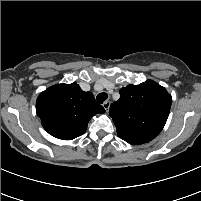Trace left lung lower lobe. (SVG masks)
I'll list each match as a JSON object with an SVG mask.
<instances>
[{"instance_id":"obj_1","label":"left lung lower lobe","mask_w":201,"mask_h":201,"mask_svg":"<svg viewBox=\"0 0 201 201\" xmlns=\"http://www.w3.org/2000/svg\"><path fill=\"white\" fill-rule=\"evenodd\" d=\"M129 144H133V143H130V142H128ZM133 145H137V144H133Z\"/></svg>"}]
</instances>
